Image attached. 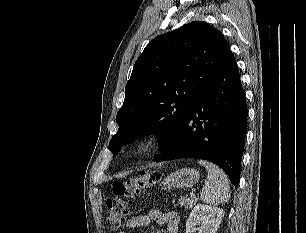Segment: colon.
Here are the masks:
<instances>
[{"mask_svg": "<svg viewBox=\"0 0 306 233\" xmlns=\"http://www.w3.org/2000/svg\"><path fill=\"white\" fill-rule=\"evenodd\" d=\"M158 179L156 171H146L127 181H114L111 185L112 197L107 200L105 223L108 229L118 230L128 214L125 198H131Z\"/></svg>", "mask_w": 306, "mask_h": 233, "instance_id": "1", "label": "colon"}]
</instances>
